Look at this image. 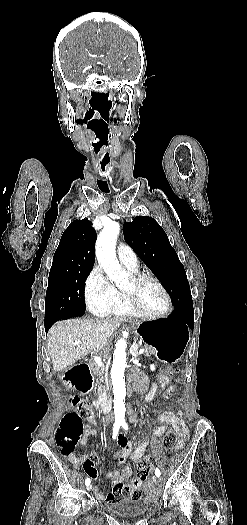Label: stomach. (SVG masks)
<instances>
[{
    "mask_svg": "<svg viewBox=\"0 0 247 525\" xmlns=\"http://www.w3.org/2000/svg\"><path fill=\"white\" fill-rule=\"evenodd\" d=\"M136 333L146 346L155 349V355L164 362L177 363L186 349L189 329L170 318L138 323Z\"/></svg>",
    "mask_w": 247,
    "mask_h": 525,
    "instance_id": "stomach-1",
    "label": "stomach"
}]
</instances>
